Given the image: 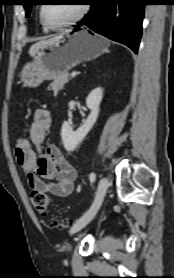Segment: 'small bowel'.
<instances>
[{
  "label": "small bowel",
  "mask_w": 174,
  "mask_h": 278,
  "mask_svg": "<svg viewBox=\"0 0 174 278\" xmlns=\"http://www.w3.org/2000/svg\"><path fill=\"white\" fill-rule=\"evenodd\" d=\"M50 124V112L36 109L29 130L31 145L24 151L15 149L16 161L33 191L66 197L74 190L77 171L56 145L43 147Z\"/></svg>",
  "instance_id": "c3829d8e"
}]
</instances>
